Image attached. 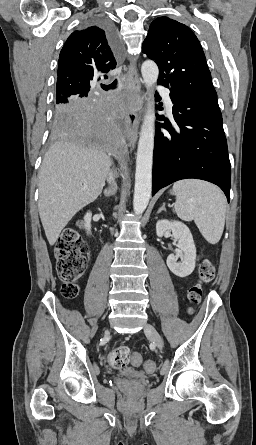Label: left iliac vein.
Masks as SVG:
<instances>
[{
  "label": "left iliac vein",
  "instance_id": "4c4485c4",
  "mask_svg": "<svg viewBox=\"0 0 256 445\" xmlns=\"http://www.w3.org/2000/svg\"><path fill=\"white\" fill-rule=\"evenodd\" d=\"M144 332L154 342L159 350H163V339L153 325L149 323L145 324Z\"/></svg>",
  "mask_w": 256,
  "mask_h": 445
}]
</instances>
